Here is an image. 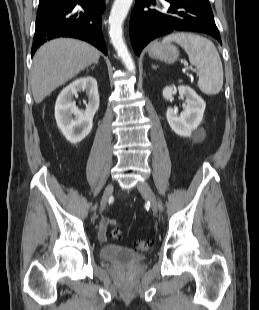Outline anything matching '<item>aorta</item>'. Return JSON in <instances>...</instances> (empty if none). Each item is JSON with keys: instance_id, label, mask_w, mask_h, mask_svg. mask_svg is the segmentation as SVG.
Instances as JSON below:
<instances>
[{"instance_id": "762f6f07", "label": "aorta", "mask_w": 259, "mask_h": 310, "mask_svg": "<svg viewBox=\"0 0 259 310\" xmlns=\"http://www.w3.org/2000/svg\"><path fill=\"white\" fill-rule=\"evenodd\" d=\"M133 0H115L109 16V34L112 44L130 72H135V65L123 39V22Z\"/></svg>"}]
</instances>
